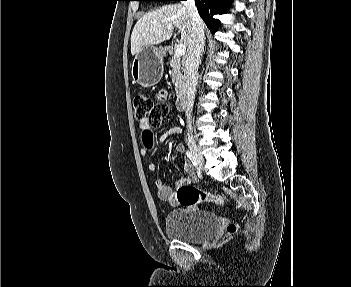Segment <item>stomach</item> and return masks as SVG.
Masks as SVG:
<instances>
[{"mask_svg": "<svg viewBox=\"0 0 351 287\" xmlns=\"http://www.w3.org/2000/svg\"><path fill=\"white\" fill-rule=\"evenodd\" d=\"M164 51L152 45L143 46L135 55L131 74L134 82L143 87H152L158 84L163 76Z\"/></svg>", "mask_w": 351, "mask_h": 287, "instance_id": "1", "label": "stomach"}]
</instances>
